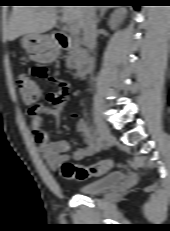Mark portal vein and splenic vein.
<instances>
[{"label": "portal vein and splenic vein", "mask_w": 170, "mask_h": 231, "mask_svg": "<svg viewBox=\"0 0 170 231\" xmlns=\"http://www.w3.org/2000/svg\"><path fill=\"white\" fill-rule=\"evenodd\" d=\"M67 27L68 30L72 33V34H77L79 32V27L77 24L69 22L67 23Z\"/></svg>", "instance_id": "portal-vein-and-splenic-vein-1"}]
</instances>
